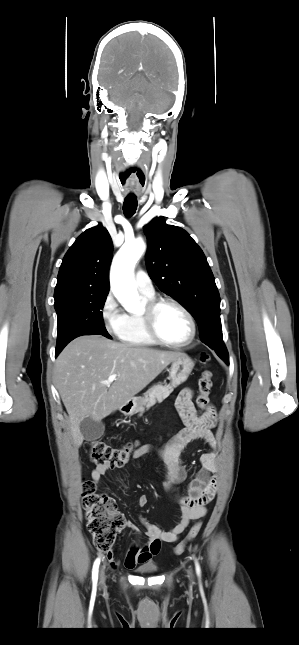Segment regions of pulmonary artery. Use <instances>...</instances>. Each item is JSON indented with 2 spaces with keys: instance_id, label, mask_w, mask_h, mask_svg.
Listing matches in <instances>:
<instances>
[{
  "instance_id": "e3ab8cb5",
  "label": "pulmonary artery",
  "mask_w": 299,
  "mask_h": 645,
  "mask_svg": "<svg viewBox=\"0 0 299 645\" xmlns=\"http://www.w3.org/2000/svg\"><path fill=\"white\" fill-rule=\"evenodd\" d=\"M135 281L141 293L146 294L148 296L154 295L155 291H154L153 283L146 272L142 270L137 271L135 275Z\"/></svg>"
}]
</instances>
